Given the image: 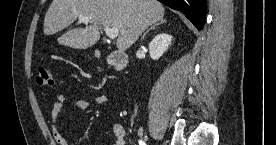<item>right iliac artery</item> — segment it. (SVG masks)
<instances>
[{
    "label": "right iliac artery",
    "mask_w": 276,
    "mask_h": 145,
    "mask_svg": "<svg viewBox=\"0 0 276 145\" xmlns=\"http://www.w3.org/2000/svg\"><path fill=\"white\" fill-rule=\"evenodd\" d=\"M139 145H145V142L143 140H139Z\"/></svg>",
    "instance_id": "right-iliac-artery-1"
}]
</instances>
